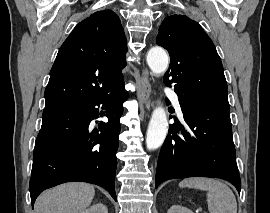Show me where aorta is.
<instances>
[{
    "mask_svg": "<svg viewBox=\"0 0 270 213\" xmlns=\"http://www.w3.org/2000/svg\"><path fill=\"white\" fill-rule=\"evenodd\" d=\"M147 63L151 71L156 75L164 74L169 65V56L161 47L150 49L147 54ZM168 120L163 107H156L152 113L146 136V147L148 150L159 148L167 135Z\"/></svg>",
    "mask_w": 270,
    "mask_h": 213,
    "instance_id": "obj_1",
    "label": "aorta"
}]
</instances>
